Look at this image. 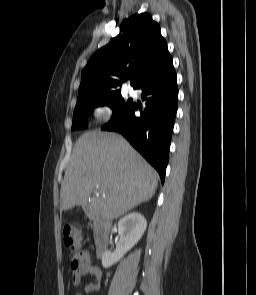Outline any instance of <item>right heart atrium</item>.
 I'll return each mask as SVG.
<instances>
[{
	"label": "right heart atrium",
	"mask_w": 256,
	"mask_h": 295,
	"mask_svg": "<svg viewBox=\"0 0 256 295\" xmlns=\"http://www.w3.org/2000/svg\"><path fill=\"white\" fill-rule=\"evenodd\" d=\"M94 113L100 118H109L112 116V109L108 105L101 104L95 108Z\"/></svg>",
	"instance_id": "obj_1"
}]
</instances>
